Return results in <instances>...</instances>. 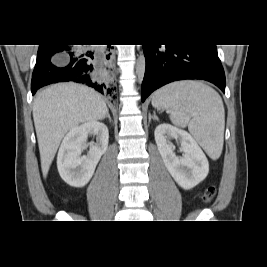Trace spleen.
<instances>
[{"mask_svg":"<svg viewBox=\"0 0 267 267\" xmlns=\"http://www.w3.org/2000/svg\"><path fill=\"white\" fill-rule=\"evenodd\" d=\"M152 105L171 111L170 120L189 132L216 160L224 143L225 111L220 95L210 86L193 80L178 81L155 92Z\"/></svg>","mask_w":267,"mask_h":267,"instance_id":"obj_1","label":"spleen"}]
</instances>
